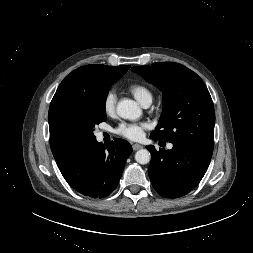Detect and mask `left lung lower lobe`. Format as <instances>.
Listing matches in <instances>:
<instances>
[{
	"mask_svg": "<svg viewBox=\"0 0 253 253\" xmlns=\"http://www.w3.org/2000/svg\"><path fill=\"white\" fill-rule=\"evenodd\" d=\"M146 148L151 153V183L166 198H178L192 191L206 173L213 152L185 143L173 144L167 151H157L153 145Z\"/></svg>",
	"mask_w": 253,
	"mask_h": 253,
	"instance_id": "0a47b994",
	"label": "left lung lower lobe"
}]
</instances>
